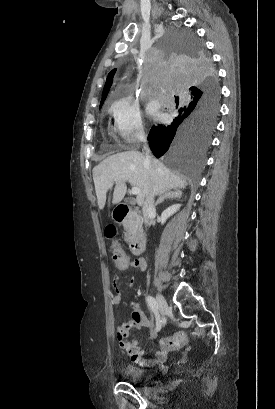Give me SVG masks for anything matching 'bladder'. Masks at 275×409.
<instances>
[{
  "label": "bladder",
  "instance_id": "31cf9c89",
  "mask_svg": "<svg viewBox=\"0 0 275 409\" xmlns=\"http://www.w3.org/2000/svg\"><path fill=\"white\" fill-rule=\"evenodd\" d=\"M121 372L127 381L133 383L152 381V374L150 373L149 368H142L134 363L125 364Z\"/></svg>",
  "mask_w": 275,
  "mask_h": 409
}]
</instances>
